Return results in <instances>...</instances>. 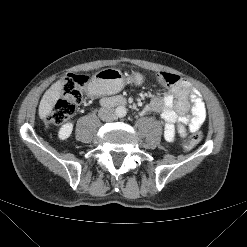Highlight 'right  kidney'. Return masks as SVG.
<instances>
[{
	"instance_id": "obj_1",
	"label": "right kidney",
	"mask_w": 247,
	"mask_h": 247,
	"mask_svg": "<svg viewBox=\"0 0 247 247\" xmlns=\"http://www.w3.org/2000/svg\"><path fill=\"white\" fill-rule=\"evenodd\" d=\"M72 130H73V124L72 123H66V124L62 125V127L60 128V130L58 132V137L61 140H66L67 138L70 137Z\"/></svg>"
}]
</instances>
